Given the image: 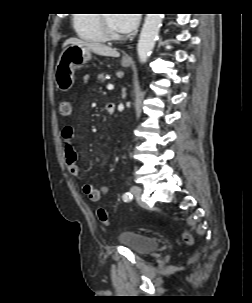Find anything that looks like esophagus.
Segmentation results:
<instances>
[{"label":"esophagus","instance_id":"esophagus-1","mask_svg":"<svg viewBox=\"0 0 252 303\" xmlns=\"http://www.w3.org/2000/svg\"><path fill=\"white\" fill-rule=\"evenodd\" d=\"M124 59L128 60L129 58L128 57H124Z\"/></svg>","mask_w":252,"mask_h":303}]
</instances>
